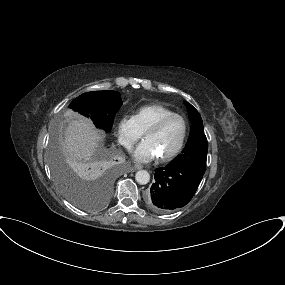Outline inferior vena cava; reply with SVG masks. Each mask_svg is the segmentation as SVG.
Instances as JSON below:
<instances>
[{"instance_id": "obj_1", "label": "inferior vena cava", "mask_w": 285, "mask_h": 285, "mask_svg": "<svg viewBox=\"0 0 285 285\" xmlns=\"http://www.w3.org/2000/svg\"><path fill=\"white\" fill-rule=\"evenodd\" d=\"M122 144L126 147V148H130L132 145V142L129 139H123Z\"/></svg>"}]
</instances>
